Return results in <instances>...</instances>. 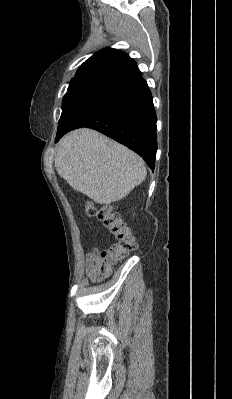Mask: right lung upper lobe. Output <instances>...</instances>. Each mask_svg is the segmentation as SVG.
I'll use <instances>...</instances> for the list:
<instances>
[{
    "mask_svg": "<svg viewBox=\"0 0 232 399\" xmlns=\"http://www.w3.org/2000/svg\"><path fill=\"white\" fill-rule=\"evenodd\" d=\"M134 66L136 62L126 53L105 48L87 59L72 80L94 79L101 82Z\"/></svg>",
    "mask_w": 232,
    "mask_h": 399,
    "instance_id": "cb5924a9",
    "label": "right lung upper lobe"
}]
</instances>
